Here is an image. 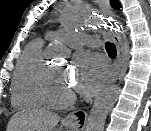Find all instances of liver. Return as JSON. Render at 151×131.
<instances>
[{"instance_id": "liver-1", "label": "liver", "mask_w": 151, "mask_h": 131, "mask_svg": "<svg viewBox=\"0 0 151 131\" xmlns=\"http://www.w3.org/2000/svg\"><path fill=\"white\" fill-rule=\"evenodd\" d=\"M59 116L45 109H31L14 114L7 131H53Z\"/></svg>"}]
</instances>
